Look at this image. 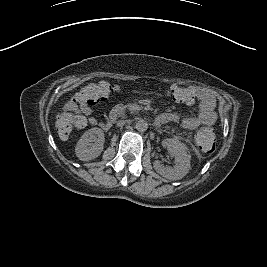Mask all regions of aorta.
<instances>
[{
    "mask_svg": "<svg viewBox=\"0 0 267 267\" xmlns=\"http://www.w3.org/2000/svg\"><path fill=\"white\" fill-rule=\"evenodd\" d=\"M135 128L137 129V131L139 132H145L148 129V123L146 120L144 119H139L136 122Z\"/></svg>",
    "mask_w": 267,
    "mask_h": 267,
    "instance_id": "762f6f07",
    "label": "aorta"
}]
</instances>
